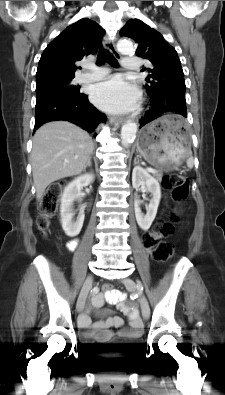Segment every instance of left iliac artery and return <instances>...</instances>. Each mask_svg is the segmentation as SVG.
<instances>
[{
    "label": "left iliac artery",
    "mask_w": 225,
    "mask_h": 395,
    "mask_svg": "<svg viewBox=\"0 0 225 395\" xmlns=\"http://www.w3.org/2000/svg\"><path fill=\"white\" fill-rule=\"evenodd\" d=\"M138 287L143 290L142 284L140 282H138Z\"/></svg>",
    "instance_id": "44dca946"
}]
</instances>
